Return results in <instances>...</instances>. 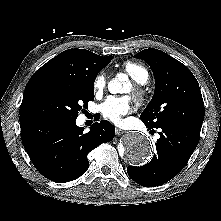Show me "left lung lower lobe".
I'll list each match as a JSON object with an SVG mask.
<instances>
[{"mask_svg": "<svg viewBox=\"0 0 221 221\" xmlns=\"http://www.w3.org/2000/svg\"><path fill=\"white\" fill-rule=\"evenodd\" d=\"M156 153L152 160L141 167L128 166L132 180L145 187L164 184L175 177L186 165L195 150L200 134L178 125L159 128Z\"/></svg>", "mask_w": 221, "mask_h": 221, "instance_id": "left-lung-lower-lobe-1", "label": "left lung lower lobe"}]
</instances>
